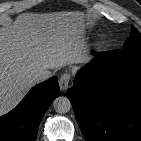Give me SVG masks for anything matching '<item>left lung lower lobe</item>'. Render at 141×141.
Returning a JSON list of instances; mask_svg holds the SVG:
<instances>
[{
  "label": "left lung lower lobe",
  "instance_id": "left-lung-lower-lobe-1",
  "mask_svg": "<svg viewBox=\"0 0 141 141\" xmlns=\"http://www.w3.org/2000/svg\"><path fill=\"white\" fill-rule=\"evenodd\" d=\"M67 97L87 141H141V47L98 53Z\"/></svg>",
  "mask_w": 141,
  "mask_h": 141
}]
</instances>
